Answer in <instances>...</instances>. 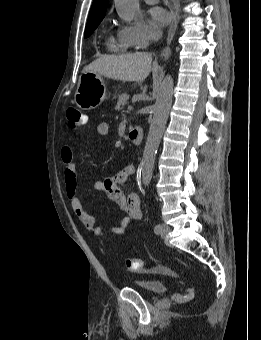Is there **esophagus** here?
<instances>
[{"label":"esophagus","mask_w":261,"mask_h":340,"mask_svg":"<svg viewBox=\"0 0 261 340\" xmlns=\"http://www.w3.org/2000/svg\"><path fill=\"white\" fill-rule=\"evenodd\" d=\"M171 25L169 27V30H168V36H167V44H169L172 39H173V36L175 34V31H176V27H177V22H176V16L173 12V10H171ZM168 47L165 48L164 52L165 53H168Z\"/></svg>","instance_id":"34e87169"}]
</instances>
